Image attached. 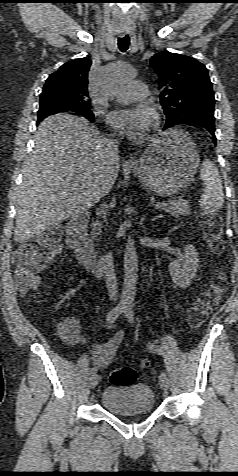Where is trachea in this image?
I'll use <instances>...</instances> for the list:
<instances>
[{"label":"trachea","mask_w":238,"mask_h":476,"mask_svg":"<svg viewBox=\"0 0 238 476\" xmlns=\"http://www.w3.org/2000/svg\"><path fill=\"white\" fill-rule=\"evenodd\" d=\"M130 38L128 35L118 39V47L121 52H126L129 48Z\"/></svg>","instance_id":"trachea-1"}]
</instances>
